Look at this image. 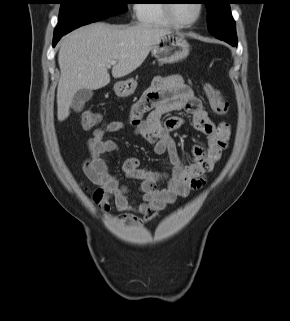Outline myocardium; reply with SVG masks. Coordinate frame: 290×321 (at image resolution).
Returning <instances> with one entry per match:
<instances>
[{"instance_id":"obj_1","label":"myocardium","mask_w":290,"mask_h":321,"mask_svg":"<svg viewBox=\"0 0 290 321\" xmlns=\"http://www.w3.org/2000/svg\"><path fill=\"white\" fill-rule=\"evenodd\" d=\"M196 3H197V15L190 22H182L175 17L174 12H173L175 3H173V0H166L164 8H165L168 18L173 23V25H175L177 27H181V28H188V27L195 25L199 21V19L202 16V13H203L204 5L200 1H196Z\"/></svg>"}]
</instances>
